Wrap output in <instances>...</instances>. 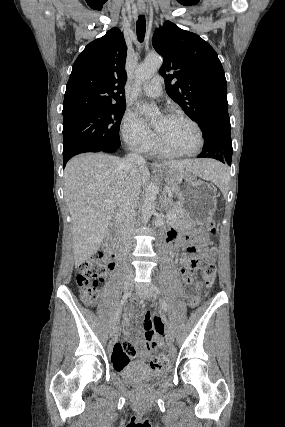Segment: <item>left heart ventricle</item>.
Masks as SVG:
<instances>
[{"label":"left heart ventricle","mask_w":285,"mask_h":427,"mask_svg":"<svg viewBox=\"0 0 285 427\" xmlns=\"http://www.w3.org/2000/svg\"><path fill=\"white\" fill-rule=\"evenodd\" d=\"M153 126L166 143L178 150L191 151L198 144V137L194 128L184 120L157 116Z\"/></svg>","instance_id":"1"}]
</instances>
